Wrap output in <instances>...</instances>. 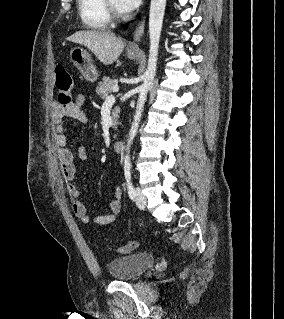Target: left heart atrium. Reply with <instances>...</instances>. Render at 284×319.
Wrapping results in <instances>:
<instances>
[{
	"instance_id": "obj_1",
	"label": "left heart atrium",
	"mask_w": 284,
	"mask_h": 319,
	"mask_svg": "<svg viewBox=\"0 0 284 319\" xmlns=\"http://www.w3.org/2000/svg\"><path fill=\"white\" fill-rule=\"evenodd\" d=\"M142 0H118L120 8L124 12H130L135 10L140 4Z\"/></svg>"
}]
</instances>
